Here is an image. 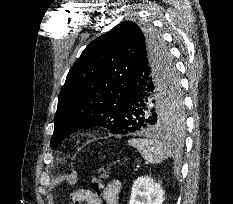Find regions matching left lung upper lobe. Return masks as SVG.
Wrapping results in <instances>:
<instances>
[{
  "mask_svg": "<svg viewBox=\"0 0 233 204\" xmlns=\"http://www.w3.org/2000/svg\"><path fill=\"white\" fill-rule=\"evenodd\" d=\"M144 49L151 55L164 54L169 74L175 68L168 49L150 27L125 21L92 41L70 69L59 94L53 147L70 132L94 126L122 134L116 119L126 92L137 54ZM161 130L175 131L184 124L180 85L169 87L157 106Z\"/></svg>",
  "mask_w": 233,
  "mask_h": 204,
  "instance_id": "5c2ea615",
  "label": "left lung upper lobe"
}]
</instances>
